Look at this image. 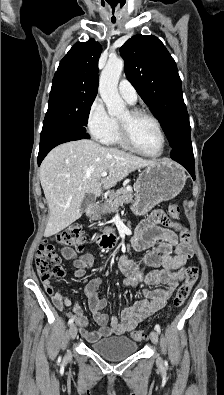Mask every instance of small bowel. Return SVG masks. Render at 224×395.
I'll return each mask as SVG.
<instances>
[{"instance_id": "1", "label": "small bowel", "mask_w": 224, "mask_h": 395, "mask_svg": "<svg viewBox=\"0 0 224 395\" xmlns=\"http://www.w3.org/2000/svg\"><path fill=\"white\" fill-rule=\"evenodd\" d=\"M157 242L159 245L148 250L143 256L144 264L154 268L148 274H142L138 265L127 256L120 258V269L126 275L124 285L127 287L143 285V288L142 299L132 306L122 309L119 316H113L109 320L108 315L104 312L107 299L99 294L102 282L100 277L92 279L86 285L83 294L88 301L94 320L99 325L97 330L88 329V320L83 315L81 307L76 303L72 304L66 295L56 291L50 280H42L43 286L58 310L63 311L71 307L72 312H66V316L74 319L82 336L87 341L94 343L112 335H126L140 322L166 305L169 297L184 277L187 260L193 255V248L187 232L177 223L166 226L165 215L161 210L154 211L140 222L131 241L135 250H146ZM60 253L64 259L72 262L76 278L84 277L86 269L94 263V257L90 253L77 255L72 247H61ZM158 267L161 268L157 269ZM160 284L165 288L147 287Z\"/></svg>"}]
</instances>
